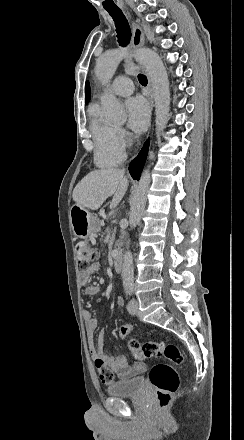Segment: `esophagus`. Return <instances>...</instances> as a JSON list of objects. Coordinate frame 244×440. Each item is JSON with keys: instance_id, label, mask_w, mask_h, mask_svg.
<instances>
[{"instance_id": "esophagus-1", "label": "esophagus", "mask_w": 244, "mask_h": 440, "mask_svg": "<svg viewBox=\"0 0 244 440\" xmlns=\"http://www.w3.org/2000/svg\"><path fill=\"white\" fill-rule=\"evenodd\" d=\"M132 48L134 50H138L139 48L143 47L145 42V37L142 28L140 25H138L136 22L132 21ZM142 68V67H141ZM142 72L146 73V70L142 68ZM148 94L146 95L149 102H150V111L153 109L154 101H153V91H152V83L151 80L148 77Z\"/></svg>"}]
</instances>
